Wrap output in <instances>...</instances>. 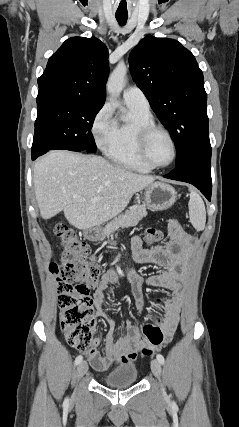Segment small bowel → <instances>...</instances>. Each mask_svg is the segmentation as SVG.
<instances>
[{"instance_id": "1", "label": "small bowel", "mask_w": 239, "mask_h": 427, "mask_svg": "<svg viewBox=\"0 0 239 427\" xmlns=\"http://www.w3.org/2000/svg\"><path fill=\"white\" fill-rule=\"evenodd\" d=\"M168 232L170 240L164 246L153 249H144L140 237L133 238L134 259L138 263H151L159 266L162 271L149 276L144 283L136 277L130 276L136 305L139 309L144 307L143 285L165 288L171 292L170 297L157 304L163 308L164 321L162 328L165 334V342H169L172 339L178 325L183 303V278L193 249L191 237L176 220H169ZM117 280L118 273L116 270L107 271L102 276L94 292L96 316L105 319L108 323L104 354L102 355L98 350L100 344L98 338L94 339L92 350L86 352L90 364L97 371L107 370L114 362H119L124 367L128 366L136 359L138 350L143 345L138 326L130 321L125 324V334L117 339L114 337L115 320L104 311L103 306L108 286Z\"/></svg>"}]
</instances>
